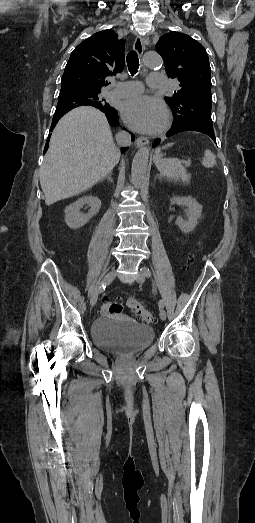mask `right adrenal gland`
<instances>
[{
  "label": "right adrenal gland",
  "instance_id": "right-adrenal-gland-1",
  "mask_svg": "<svg viewBox=\"0 0 255 523\" xmlns=\"http://www.w3.org/2000/svg\"><path fill=\"white\" fill-rule=\"evenodd\" d=\"M104 178H108L109 182H112L111 174H108V176H104Z\"/></svg>",
  "mask_w": 255,
  "mask_h": 523
}]
</instances>
